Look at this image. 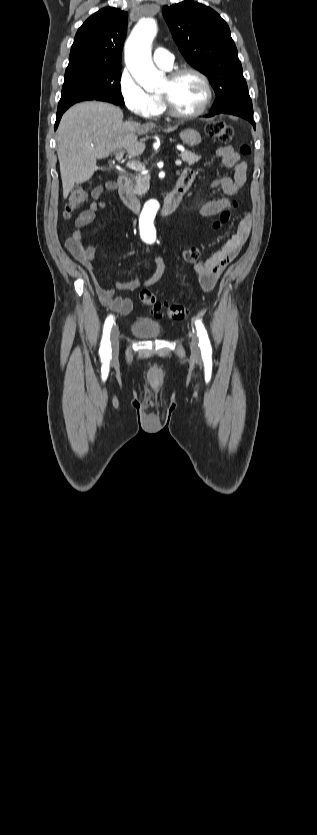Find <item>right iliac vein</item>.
<instances>
[{"label": "right iliac vein", "mask_w": 317, "mask_h": 835, "mask_svg": "<svg viewBox=\"0 0 317 835\" xmlns=\"http://www.w3.org/2000/svg\"><path fill=\"white\" fill-rule=\"evenodd\" d=\"M111 345L113 354H117L119 350V331L117 327H113L111 332Z\"/></svg>", "instance_id": "obj_1"}]
</instances>
